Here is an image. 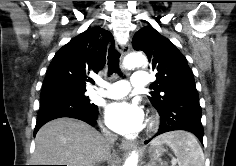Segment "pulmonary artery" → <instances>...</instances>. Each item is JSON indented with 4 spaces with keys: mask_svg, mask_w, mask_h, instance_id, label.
Segmentation results:
<instances>
[{
    "mask_svg": "<svg viewBox=\"0 0 236 166\" xmlns=\"http://www.w3.org/2000/svg\"><path fill=\"white\" fill-rule=\"evenodd\" d=\"M148 82H149L148 73L146 71L138 70L134 72L130 83L124 80L113 82L106 86V89L102 94L105 97L112 99L122 98L128 94L131 86L141 88L147 86Z\"/></svg>",
    "mask_w": 236,
    "mask_h": 166,
    "instance_id": "1",
    "label": "pulmonary artery"
}]
</instances>
